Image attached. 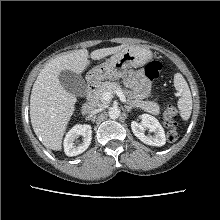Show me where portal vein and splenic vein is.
<instances>
[{"instance_id":"portal-vein-and-splenic-vein-1","label":"portal vein and splenic vein","mask_w":220,"mask_h":220,"mask_svg":"<svg viewBox=\"0 0 220 220\" xmlns=\"http://www.w3.org/2000/svg\"><path fill=\"white\" fill-rule=\"evenodd\" d=\"M114 94H116L122 102H126V97L121 90H116ZM112 97H113L112 92H106L103 94L102 99L105 101H110Z\"/></svg>"}]
</instances>
